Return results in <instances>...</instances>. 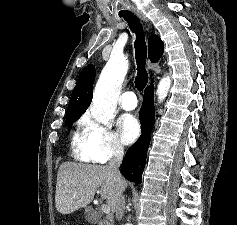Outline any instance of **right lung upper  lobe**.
<instances>
[{
  "label": "right lung upper lobe",
  "mask_w": 237,
  "mask_h": 225,
  "mask_svg": "<svg viewBox=\"0 0 237 225\" xmlns=\"http://www.w3.org/2000/svg\"><path fill=\"white\" fill-rule=\"evenodd\" d=\"M149 59L152 62L158 61L164 51V44L157 35L149 37ZM95 80V66L89 64L80 73L76 86L72 91L69 101L68 114L75 112H85L88 108L92 93L93 83Z\"/></svg>",
  "instance_id": "1"
}]
</instances>
